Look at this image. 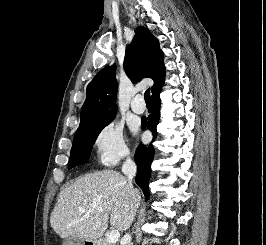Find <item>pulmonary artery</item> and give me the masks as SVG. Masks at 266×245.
Returning a JSON list of instances; mask_svg holds the SVG:
<instances>
[{
  "instance_id": "obj_1",
  "label": "pulmonary artery",
  "mask_w": 266,
  "mask_h": 245,
  "mask_svg": "<svg viewBox=\"0 0 266 245\" xmlns=\"http://www.w3.org/2000/svg\"><path fill=\"white\" fill-rule=\"evenodd\" d=\"M143 96L138 94L134 97V99L131 102V109L133 112L137 114H141L145 111L146 107L145 104H143Z\"/></svg>"
}]
</instances>
